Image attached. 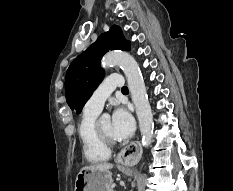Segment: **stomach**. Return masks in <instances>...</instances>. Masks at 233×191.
<instances>
[{
  "mask_svg": "<svg viewBox=\"0 0 233 191\" xmlns=\"http://www.w3.org/2000/svg\"><path fill=\"white\" fill-rule=\"evenodd\" d=\"M112 182L110 171L81 169L75 180L74 191H108Z\"/></svg>",
  "mask_w": 233,
  "mask_h": 191,
  "instance_id": "0dacf381",
  "label": "stomach"
}]
</instances>
